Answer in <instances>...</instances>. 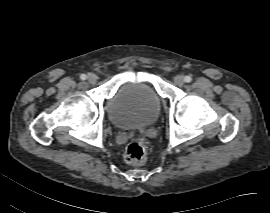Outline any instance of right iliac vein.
I'll list each match as a JSON object with an SVG mask.
<instances>
[{
    "instance_id": "1",
    "label": "right iliac vein",
    "mask_w": 270,
    "mask_h": 213,
    "mask_svg": "<svg viewBox=\"0 0 270 213\" xmlns=\"http://www.w3.org/2000/svg\"><path fill=\"white\" fill-rule=\"evenodd\" d=\"M96 81H97V78H96L95 75H89V76H88V82H89L90 84H95Z\"/></svg>"
}]
</instances>
